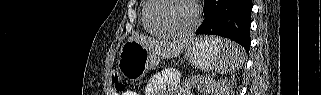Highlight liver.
Here are the masks:
<instances>
[{"instance_id": "1", "label": "liver", "mask_w": 321, "mask_h": 95, "mask_svg": "<svg viewBox=\"0 0 321 95\" xmlns=\"http://www.w3.org/2000/svg\"><path fill=\"white\" fill-rule=\"evenodd\" d=\"M128 41H136L144 46V48L164 58H175L179 56L184 47L188 44L187 39L174 41H157L139 34H133L128 38Z\"/></svg>"}]
</instances>
